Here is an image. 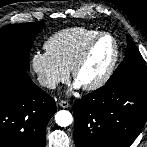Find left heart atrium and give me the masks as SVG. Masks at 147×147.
Instances as JSON below:
<instances>
[{
    "instance_id": "39dd6f15",
    "label": "left heart atrium",
    "mask_w": 147,
    "mask_h": 147,
    "mask_svg": "<svg viewBox=\"0 0 147 147\" xmlns=\"http://www.w3.org/2000/svg\"><path fill=\"white\" fill-rule=\"evenodd\" d=\"M80 86H81V85H80L78 82L75 83V87H76V88H78V87H80Z\"/></svg>"
}]
</instances>
